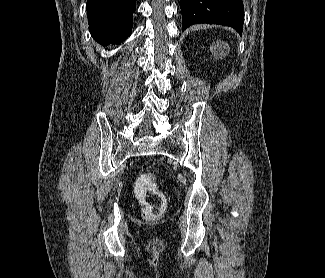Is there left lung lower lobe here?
<instances>
[{
  "instance_id": "0a47b994",
  "label": "left lung lower lobe",
  "mask_w": 325,
  "mask_h": 278,
  "mask_svg": "<svg viewBox=\"0 0 325 278\" xmlns=\"http://www.w3.org/2000/svg\"><path fill=\"white\" fill-rule=\"evenodd\" d=\"M182 29L197 23L233 27L242 35L244 6L242 0H181Z\"/></svg>"
}]
</instances>
